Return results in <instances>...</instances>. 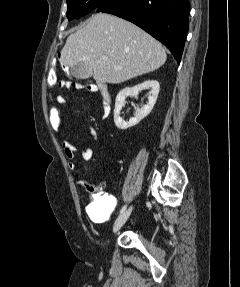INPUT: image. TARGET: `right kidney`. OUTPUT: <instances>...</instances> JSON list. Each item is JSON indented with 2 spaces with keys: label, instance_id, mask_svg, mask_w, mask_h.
Returning <instances> with one entry per match:
<instances>
[{
  "label": "right kidney",
  "instance_id": "1",
  "mask_svg": "<svg viewBox=\"0 0 240 287\" xmlns=\"http://www.w3.org/2000/svg\"><path fill=\"white\" fill-rule=\"evenodd\" d=\"M146 88H150V95L148 97V103L141 108H137L135 116L130 118L129 121H124L120 117V111L125 105V99L128 96H137L138 93ZM160 90V85L156 80H147L141 84L134 87H126L122 89L116 97L115 109H114V122L118 129L126 130L130 127L137 125L142 119H144L153 109L158 93Z\"/></svg>",
  "mask_w": 240,
  "mask_h": 287
}]
</instances>
